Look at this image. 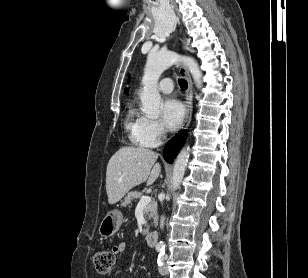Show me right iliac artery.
Masks as SVG:
<instances>
[{
    "mask_svg": "<svg viewBox=\"0 0 308 278\" xmlns=\"http://www.w3.org/2000/svg\"><path fill=\"white\" fill-rule=\"evenodd\" d=\"M156 250H157L158 252H160V251L163 250V248H162V247H156Z\"/></svg>",
    "mask_w": 308,
    "mask_h": 278,
    "instance_id": "right-iliac-artery-1",
    "label": "right iliac artery"
}]
</instances>
